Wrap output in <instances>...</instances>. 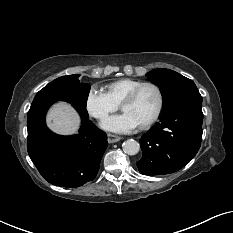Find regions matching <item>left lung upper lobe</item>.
<instances>
[{"label": "left lung upper lobe", "mask_w": 233, "mask_h": 233, "mask_svg": "<svg viewBox=\"0 0 233 233\" xmlns=\"http://www.w3.org/2000/svg\"><path fill=\"white\" fill-rule=\"evenodd\" d=\"M148 79L160 87L164 98L162 112L179 104L202 101L194 82L169 69H154L146 74Z\"/></svg>", "instance_id": "5c2ea615"}]
</instances>
